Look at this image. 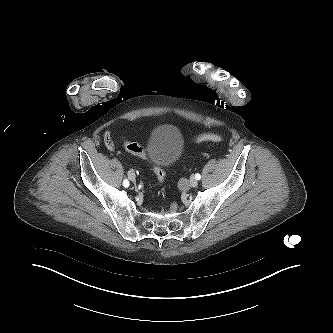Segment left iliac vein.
I'll return each instance as SVG.
<instances>
[{
    "label": "left iliac vein",
    "instance_id": "obj_1",
    "mask_svg": "<svg viewBox=\"0 0 333 333\" xmlns=\"http://www.w3.org/2000/svg\"><path fill=\"white\" fill-rule=\"evenodd\" d=\"M189 184H190L191 187H196L198 185V181L194 176H191Z\"/></svg>",
    "mask_w": 333,
    "mask_h": 333
}]
</instances>
